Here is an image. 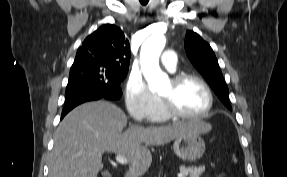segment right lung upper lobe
Segmentation results:
<instances>
[{
	"label": "right lung upper lobe",
	"mask_w": 287,
	"mask_h": 177,
	"mask_svg": "<svg viewBox=\"0 0 287 177\" xmlns=\"http://www.w3.org/2000/svg\"><path fill=\"white\" fill-rule=\"evenodd\" d=\"M130 45L120 28L105 24L79 47L73 65H100L128 72Z\"/></svg>",
	"instance_id": "obj_1"
}]
</instances>
